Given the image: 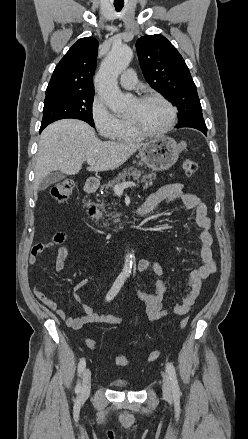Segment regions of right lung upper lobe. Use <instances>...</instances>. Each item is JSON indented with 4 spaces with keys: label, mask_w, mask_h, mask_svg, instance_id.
<instances>
[{
    "label": "right lung upper lobe",
    "mask_w": 248,
    "mask_h": 439,
    "mask_svg": "<svg viewBox=\"0 0 248 439\" xmlns=\"http://www.w3.org/2000/svg\"><path fill=\"white\" fill-rule=\"evenodd\" d=\"M98 41L92 37L79 39L56 65L46 95L62 92L94 91Z\"/></svg>",
    "instance_id": "1"
}]
</instances>
